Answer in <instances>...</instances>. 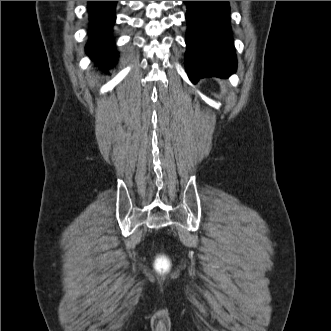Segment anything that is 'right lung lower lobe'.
Returning a JSON list of instances; mask_svg holds the SVG:
<instances>
[{
    "label": "right lung lower lobe",
    "instance_id": "98d812e1",
    "mask_svg": "<svg viewBox=\"0 0 331 331\" xmlns=\"http://www.w3.org/2000/svg\"><path fill=\"white\" fill-rule=\"evenodd\" d=\"M117 1H89L90 40L86 46L87 54L105 68L113 66L116 55L113 51L110 33L115 22Z\"/></svg>",
    "mask_w": 331,
    "mask_h": 331
}]
</instances>
